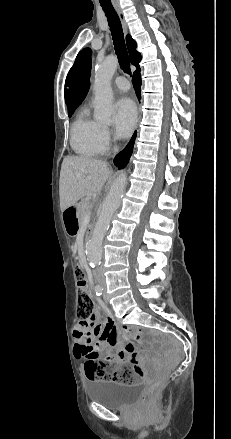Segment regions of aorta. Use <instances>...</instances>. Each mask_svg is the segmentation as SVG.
<instances>
[{"mask_svg": "<svg viewBox=\"0 0 231 439\" xmlns=\"http://www.w3.org/2000/svg\"><path fill=\"white\" fill-rule=\"evenodd\" d=\"M118 60L110 55L96 67L94 81V118L103 123H109L113 113V92L111 79L117 69ZM127 177L121 172L113 182L96 222L91 239L86 244V255L92 266L100 264L103 254V239L109 229L111 217L118 209L126 189Z\"/></svg>", "mask_w": 231, "mask_h": 439, "instance_id": "obj_1", "label": "aorta"}]
</instances>
